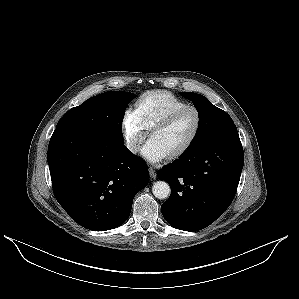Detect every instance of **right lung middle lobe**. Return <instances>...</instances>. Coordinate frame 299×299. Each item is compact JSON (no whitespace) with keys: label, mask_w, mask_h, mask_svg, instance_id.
I'll return each mask as SVG.
<instances>
[{"label":"right lung middle lobe","mask_w":299,"mask_h":299,"mask_svg":"<svg viewBox=\"0 0 299 299\" xmlns=\"http://www.w3.org/2000/svg\"><path fill=\"white\" fill-rule=\"evenodd\" d=\"M136 97L130 92L108 91L70 109L56 129L102 135L123 141L122 121L127 105Z\"/></svg>","instance_id":"right-lung-middle-lobe-1"}]
</instances>
